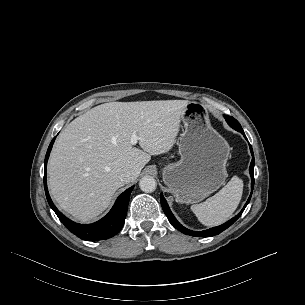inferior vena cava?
<instances>
[{"label": "inferior vena cava", "mask_w": 305, "mask_h": 305, "mask_svg": "<svg viewBox=\"0 0 305 305\" xmlns=\"http://www.w3.org/2000/svg\"><path fill=\"white\" fill-rule=\"evenodd\" d=\"M119 179L123 183H129L132 179V172L130 170H122L119 174Z\"/></svg>", "instance_id": "1"}]
</instances>
